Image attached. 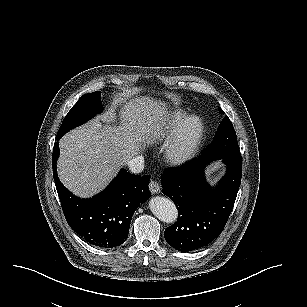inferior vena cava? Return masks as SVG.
<instances>
[{
	"label": "inferior vena cava",
	"mask_w": 307,
	"mask_h": 307,
	"mask_svg": "<svg viewBox=\"0 0 307 307\" xmlns=\"http://www.w3.org/2000/svg\"><path fill=\"white\" fill-rule=\"evenodd\" d=\"M127 165L132 173H141L144 170V157L142 155H136L127 161Z\"/></svg>",
	"instance_id": "602c4592"
}]
</instances>
